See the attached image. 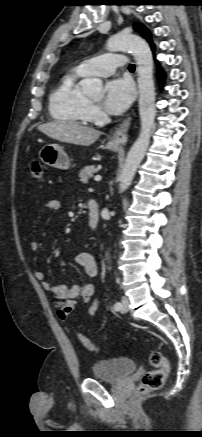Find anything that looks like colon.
Listing matches in <instances>:
<instances>
[{"label":"colon","instance_id":"obj_1","mask_svg":"<svg viewBox=\"0 0 202 437\" xmlns=\"http://www.w3.org/2000/svg\"><path fill=\"white\" fill-rule=\"evenodd\" d=\"M30 175L34 179H42L44 176V168L42 163L34 159L30 164ZM80 343L91 351H97L98 347L85 335L78 334ZM149 362L154 367L144 374L140 384L137 387L138 394H146L151 391L160 389L170 370L168 358L160 352H152L149 356Z\"/></svg>","mask_w":202,"mask_h":437}]
</instances>
